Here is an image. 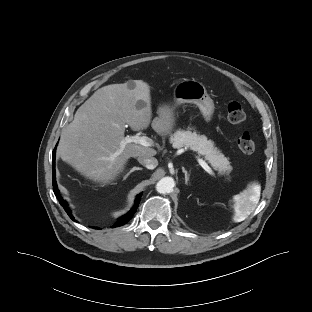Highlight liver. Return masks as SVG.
Instances as JSON below:
<instances>
[{"label": "liver", "mask_w": 312, "mask_h": 312, "mask_svg": "<svg viewBox=\"0 0 312 312\" xmlns=\"http://www.w3.org/2000/svg\"><path fill=\"white\" fill-rule=\"evenodd\" d=\"M141 101L143 106L136 108ZM152 123L150 86L135 80L98 89L82 104L74 120L63 130L58 155L84 177L101 183L114 180L131 157H153L156 150L127 143L119 155L126 124L133 131L153 130L161 136L171 133L175 117L173 109L159 106Z\"/></svg>", "instance_id": "obj_1"}]
</instances>
